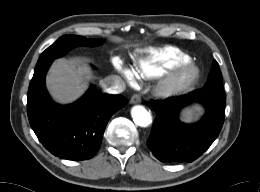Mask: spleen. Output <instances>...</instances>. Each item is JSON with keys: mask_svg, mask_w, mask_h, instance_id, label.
Wrapping results in <instances>:
<instances>
[{"mask_svg": "<svg viewBox=\"0 0 260 192\" xmlns=\"http://www.w3.org/2000/svg\"><path fill=\"white\" fill-rule=\"evenodd\" d=\"M200 111V107L199 106H194L193 108L191 109H187V110H184L183 112V120L186 121V122H191L192 121V115L195 113V112H199Z\"/></svg>", "mask_w": 260, "mask_h": 192, "instance_id": "obj_1", "label": "spleen"}]
</instances>
